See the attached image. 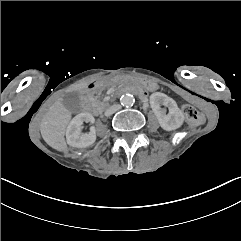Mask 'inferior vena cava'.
<instances>
[{"instance_id":"inferior-vena-cava-1","label":"inferior vena cava","mask_w":241,"mask_h":241,"mask_svg":"<svg viewBox=\"0 0 241 241\" xmlns=\"http://www.w3.org/2000/svg\"><path fill=\"white\" fill-rule=\"evenodd\" d=\"M120 108H121V106L119 104L112 105L105 110L104 114H105V116H110L113 113H115L116 111H118Z\"/></svg>"}]
</instances>
